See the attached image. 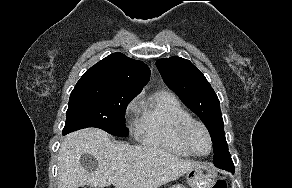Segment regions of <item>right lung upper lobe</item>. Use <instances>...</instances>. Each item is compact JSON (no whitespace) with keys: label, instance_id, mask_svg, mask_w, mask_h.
I'll list each match as a JSON object with an SVG mask.
<instances>
[{"label":"right lung upper lobe","instance_id":"obj_1","mask_svg":"<svg viewBox=\"0 0 292 188\" xmlns=\"http://www.w3.org/2000/svg\"><path fill=\"white\" fill-rule=\"evenodd\" d=\"M150 78L149 67L122 53H113L88 69L77 84H100L139 94Z\"/></svg>","mask_w":292,"mask_h":188}]
</instances>
